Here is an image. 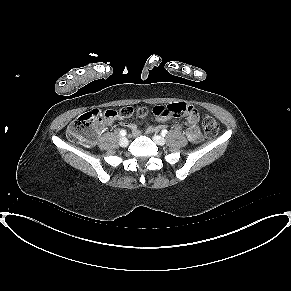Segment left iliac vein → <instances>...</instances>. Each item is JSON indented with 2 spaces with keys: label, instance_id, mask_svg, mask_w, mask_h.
I'll return each mask as SVG.
<instances>
[{
  "label": "left iliac vein",
  "instance_id": "4c4485c4",
  "mask_svg": "<svg viewBox=\"0 0 291 291\" xmlns=\"http://www.w3.org/2000/svg\"><path fill=\"white\" fill-rule=\"evenodd\" d=\"M153 140L155 143H157L158 145H161V146H163L166 143V139L164 137L158 136V135H155L153 137Z\"/></svg>",
  "mask_w": 291,
  "mask_h": 291
}]
</instances>
